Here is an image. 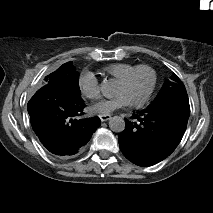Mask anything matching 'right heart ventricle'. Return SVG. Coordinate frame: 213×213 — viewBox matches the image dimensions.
Segmentation results:
<instances>
[{
	"label": "right heart ventricle",
	"mask_w": 213,
	"mask_h": 213,
	"mask_svg": "<svg viewBox=\"0 0 213 213\" xmlns=\"http://www.w3.org/2000/svg\"><path fill=\"white\" fill-rule=\"evenodd\" d=\"M136 68L138 67L132 64H118L108 68L107 71L116 79L121 80L122 78L128 76Z\"/></svg>",
	"instance_id": "1"
}]
</instances>
